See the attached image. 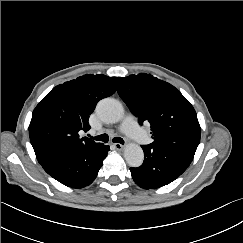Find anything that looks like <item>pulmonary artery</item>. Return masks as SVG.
<instances>
[{"mask_svg":"<svg viewBox=\"0 0 243 243\" xmlns=\"http://www.w3.org/2000/svg\"><path fill=\"white\" fill-rule=\"evenodd\" d=\"M120 131L135 141H140L145 136L144 132L137 125L132 115H127L125 117L122 124L120 125Z\"/></svg>","mask_w":243,"mask_h":243,"instance_id":"1","label":"pulmonary artery"}]
</instances>
